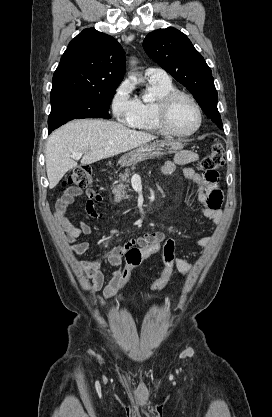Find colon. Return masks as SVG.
<instances>
[{
	"label": "colon",
	"mask_w": 272,
	"mask_h": 417,
	"mask_svg": "<svg viewBox=\"0 0 272 417\" xmlns=\"http://www.w3.org/2000/svg\"><path fill=\"white\" fill-rule=\"evenodd\" d=\"M224 162L225 149L220 142H215L210 152L199 163V168L205 173H213ZM91 174L92 170L89 166H77L69 174L66 184L78 188L88 187L91 183ZM157 254L161 255L163 268L158 278L152 283L151 291H161L168 283L175 267V241L166 237L140 242L126 252V265L117 284V291L129 282L133 271L142 262Z\"/></svg>",
	"instance_id": "5ec220e1"
}]
</instances>
